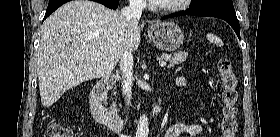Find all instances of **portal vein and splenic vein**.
<instances>
[{
    "mask_svg": "<svg viewBox=\"0 0 280 137\" xmlns=\"http://www.w3.org/2000/svg\"><path fill=\"white\" fill-rule=\"evenodd\" d=\"M166 64H167V63H166L165 61H163V62L160 63V66H161V67H164V66H166Z\"/></svg>",
    "mask_w": 280,
    "mask_h": 137,
    "instance_id": "1",
    "label": "portal vein and splenic vein"
}]
</instances>
